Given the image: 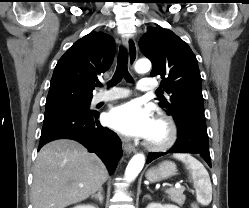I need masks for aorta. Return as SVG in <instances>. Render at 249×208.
<instances>
[{
	"instance_id": "obj_1",
	"label": "aorta",
	"mask_w": 249,
	"mask_h": 208,
	"mask_svg": "<svg viewBox=\"0 0 249 208\" xmlns=\"http://www.w3.org/2000/svg\"><path fill=\"white\" fill-rule=\"evenodd\" d=\"M151 68V62L148 59H140L135 64V70L138 73L148 72ZM145 164L144 154L137 153L129 161L125 170V179L127 182H132L141 172Z\"/></svg>"
}]
</instances>
